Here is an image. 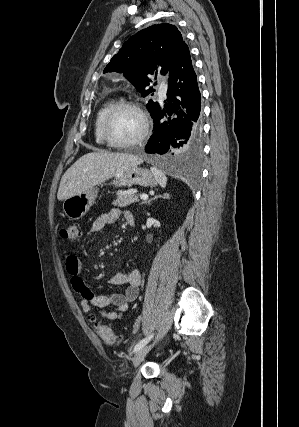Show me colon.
<instances>
[{
  "mask_svg": "<svg viewBox=\"0 0 299 427\" xmlns=\"http://www.w3.org/2000/svg\"><path fill=\"white\" fill-rule=\"evenodd\" d=\"M60 235L66 240L78 241L80 239L79 226L75 223L65 225L60 229ZM94 327L100 338L107 345H117L119 343V337L106 324L96 322Z\"/></svg>",
  "mask_w": 299,
  "mask_h": 427,
  "instance_id": "obj_1",
  "label": "colon"
}]
</instances>
